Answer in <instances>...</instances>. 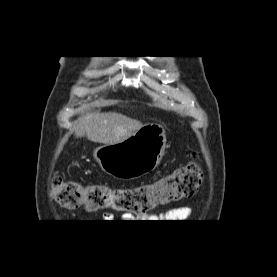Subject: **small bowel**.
Returning a JSON list of instances; mask_svg holds the SVG:
<instances>
[{"mask_svg": "<svg viewBox=\"0 0 277 277\" xmlns=\"http://www.w3.org/2000/svg\"><path fill=\"white\" fill-rule=\"evenodd\" d=\"M191 208L188 206H179L174 207L166 212H155L147 217L142 218L143 220H147V222H182L187 220L191 215ZM106 220H111L112 215L106 213L104 215ZM123 219L126 221L132 220V216L129 214L123 215Z\"/></svg>", "mask_w": 277, "mask_h": 277, "instance_id": "1", "label": "small bowel"}]
</instances>
